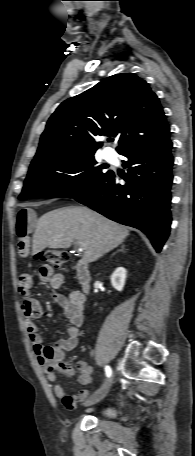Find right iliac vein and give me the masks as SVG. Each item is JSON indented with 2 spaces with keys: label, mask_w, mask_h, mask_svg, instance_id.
Returning a JSON list of instances; mask_svg holds the SVG:
<instances>
[{
  "label": "right iliac vein",
  "mask_w": 195,
  "mask_h": 456,
  "mask_svg": "<svg viewBox=\"0 0 195 456\" xmlns=\"http://www.w3.org/2000/svg\"><path fill=\"white\" fill-rule=\"evenodd\" d=\"M111 384H112V378L107 380L95 394H93L88 400H86L84 405L85 406L93 405V404H96V403L100 402L101 400H103L104 397L107 395Z\"/></svg>",
  "instance_id": "63e3f726"
}]
</instances>
